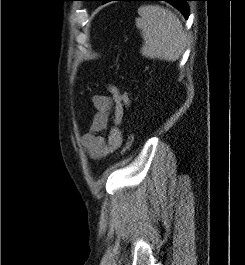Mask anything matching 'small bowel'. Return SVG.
I'll return each mask as SVG.
<instances>
[{
  "label": "small bowel",
  "mask_w": 245,
  "mask_h": 265,
  "mask_svg": "<svg viewBox=\"0 0 245 265\" xmlns=\"http://www.w3.org/2000/svg\"><path fill=\"white\" fill-rule=\"evenodd\" d=\"M109 95H93L91 102L96 110L90 130L81 137V144L93 159H101L118 149L123 142L121 122L125 111L122 92L114 85L107 88ZM110 120L113 126L108 135L100 133L108 128Z\"/></svg>",
  "instance_id": "c3829d8e"
}]
</instances>
